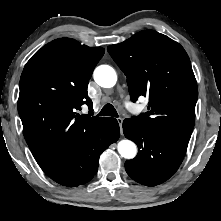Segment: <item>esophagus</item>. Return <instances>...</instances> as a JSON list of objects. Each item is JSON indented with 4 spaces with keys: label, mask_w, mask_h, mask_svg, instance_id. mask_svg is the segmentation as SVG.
<instances>
[{
    "label": "esophagus",
    "mask_w": 221,
    "mask_h": 221,
    "mask_svg": "<svg viewBox=\"0 0 221 221\" xmlns=\"http://www.w3.org/2000/svg\"><path fill=\"white\" fill-rule=\"evenodd\" d=\"M118 124L120 126V129L122 130V124H123V119L122 118H117Z\"/></svg>",
    "instance_id": "esophagus-1"
}]
</instances>
